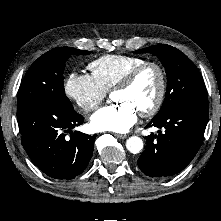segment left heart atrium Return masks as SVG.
Listing matches in <instances>:
<instances>
[{"label": "left heart atrium", "mask_w": 221, "mask_h": 221, "mask_svg": "<svg viewBox=\"0 0 221 221\" xmlns=\"http://www.w3.org/2000/svg\"><path fill=\"white\" fill-rule=\"evenodd\" d=\"M137 121V111L127 102L103 107L91 116V125L97 131L126 132Z\"/></svg>", "instance_id": "obj_1"}]
</instances>
